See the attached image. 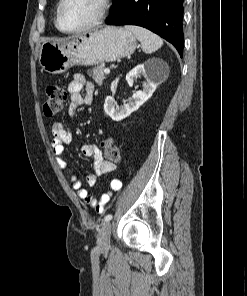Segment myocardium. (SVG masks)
Returning a JSON list of instances; mask_svg holds the SVG:
<instances>
[{
    "label": "myocardium",
    "mask_w": 247,
    "mask_h": 296,
    "mask_svg": "<svg viewBox=\"0 0 247 296\" xmlns=\"http://www.w3.org/2000/svg\"><path fill=\"white\" fill-rule=\"evenodd\" d=\"M65 2H66V0L59 1L57 9H56V17H55V25H56L57 29L60 32L65 33V34H79V33H83V32H86L88 30H91V29L97 27L98 25H100L103 22V20L105 19L106 15L108 13V10H109V0H97L98 7H99L98 13H97L96 17L91 22H89L87 25H85L81 28H78V29L66 30V29H63L60 24V13H61V9H62Z\"/></svg>",
    "instance_id": "1"
}]
</instances>
